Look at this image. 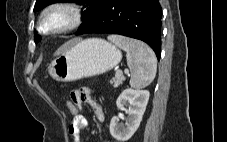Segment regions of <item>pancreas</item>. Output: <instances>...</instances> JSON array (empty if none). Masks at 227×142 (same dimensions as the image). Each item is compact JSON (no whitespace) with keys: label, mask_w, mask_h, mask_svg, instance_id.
I'll return each mask as SVG.
<instances>
[{"label":"pancreas","mask_w":227,"mask_h":142,"mask_svg":"<svg viewBox=\"0 0 227 142\" xmlns=\"http://www.w3.org/2000/svg\"><path fill=\"white\" fill-rule=\"evenodd\" d=\"M124 80H125V77L123 76V74H116V76L111 79L110 83L113 85V87L116 88L119 85H121Z\"/></svg>","instance_id":"pancreas-1"}]
</instances>
